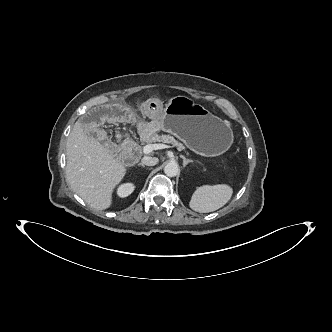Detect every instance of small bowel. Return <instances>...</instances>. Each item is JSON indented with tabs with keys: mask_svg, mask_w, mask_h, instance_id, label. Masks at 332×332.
I'll use <instances>...</instances> for the list:
<instances>
[{
	"mask_svg": "<svg viewBox=\"0 0 332 332\" xmlns=\"http://www.w3.org/2000/svg\"><path fill=\"white\" fill-rule=\"evenodd\" d=\"M164 103L160 99L144 100L140 104V109L148 118L157 119L161 116ZM82 126L86 130H93L96 126L106 123L115 127H123L125 125L134 126L137 118L130 115L127 108L118 106L114 103H107L99 108L87 113L82 119ZM141 135L147 136L144 127L141 128Z\"/></svg>",
	"mask_w": 332,
	"mask_h": 332,
	"instance_id": "c3829d8e",
	"label": "small bowel"
}]
</instances>
